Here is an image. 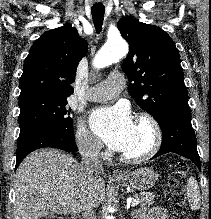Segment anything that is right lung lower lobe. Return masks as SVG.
<instances>
[{
	"label": "right lung lower lobe",
	"instance_id": "1",
	"mask_svg": "<svg viewBox=\"0 0 211 219\" xmlns=\"http://www.w3.org/2000/svg\"><path fill=\"white\" fill-rule=\"evenodd\" d=\"M44 147L58 148L70 153L77 152L78 150L74 132L67 133L52 127L35 128L19 135L15 168L19 166L29 153Z\"/></svg>",
	"mask_w": 211,
	"mask_h": 219
}]
</instances>
